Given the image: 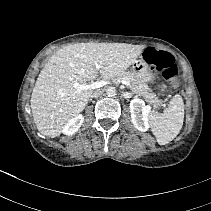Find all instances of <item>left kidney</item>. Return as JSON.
I'll use <instances>...</instances> for the list:
<instances>
[{"label": "left kidney", "mask_w": 211, "mask_h": 211, "mask_svg": "<svg viewBox=\"0 0 211 211\" xmlns=\"http://www.w3.org/2000/svg\"><path fill=\"white\" fill-rule=\"evenodd\" d=\"M131 119L134 127L142 132L149 129L150 106H145L143 100L134 98L130 102Z\"/></svg>", "instance_id": "obj_1"}]
</instances>
